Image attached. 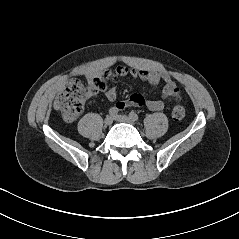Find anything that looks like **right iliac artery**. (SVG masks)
I'll use <instances>...</instances> for the list:
<instances>
[{"label":"right iliac artery","instance_id":"right-iliac-artery-1","mask_svg":"<svg viewBox=\"0 0 239 239\" xmlns=\"http://www.w3.org/2000/svg\"><path fill=\"white\" fill-rule=\"evenodd\" d=\"M109 114H110L111 116L117 115V114H118V109L115 108V107L110 108Z\"/></svg>","mask_w":239,"mask_h":239}]
</instances>
